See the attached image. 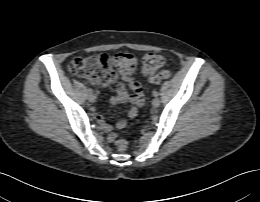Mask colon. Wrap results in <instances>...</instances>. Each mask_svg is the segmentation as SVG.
I'll use <instances>...</instances> for the list:
<instances>
[{"instance_id": "5ec220e1", "label": "colon", "mask_w": 260, "mask_h": 202, "mask_svg": "<svg viewBox=\"0 0 260 202\" xmlns=\"http://www.w3.org/2000/svg\"><path fill=\"white\" fill-rule=\"evenodd\" d=\"M165 64V57L157 53L145 54L140 63L130 52L115 54H95L89 57H78L69 63V71L72 75L84 77L94 84L109 85L118 75L129 80L140 69L149 76L152 83H161L170 77V72L161 70ZM115 145L118 151L127 149V142L116 139Z\"/></svg>"}]
</instances>
